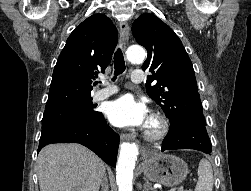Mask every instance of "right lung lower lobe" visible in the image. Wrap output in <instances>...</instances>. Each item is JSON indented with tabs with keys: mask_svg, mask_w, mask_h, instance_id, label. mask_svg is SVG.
I'll list each match as a JSON object with an SVG mask.
<instances>
[{
	"mask_svg": "<svg viewBox=\"0 0 251 191\" xmlns=\"http://www.w3.org/2000/svg\"><path fill=\"white\" fill-rule=\"evenodd\" d=\"M119 140V136L106 125L103 115L95 121L68 119L42 129L37 153L51 143L76 142L115 167Z\"/></svg>",
	"mask_w": 251,
	"mask_h": 191,
	"instance_id": "right-lung-lower-lobe-1",
	"label": "right lung lower lobe"
}]
</instances>
